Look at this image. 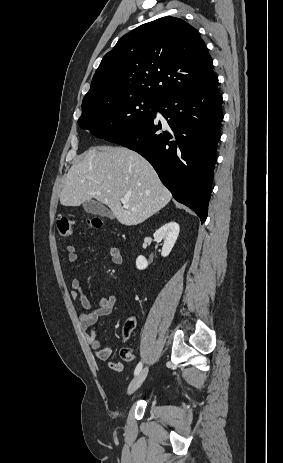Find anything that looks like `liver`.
Wrapping results in <instances>:
<instances>
[{
    "mask_svg": "<svg viewBox=\"0 0 283 463\" xmlns=\"http://www.w3.org/2000/svg\"><path fill=\"white\" fill-rule=\"evenodd\" d=\"M170 191L141 155L124 147H92L72 165L60 194L63 206L96 199L124 225H137L165 207ZM121 199L128 201L122 206Z\"/></svg>",
    "mask_w": 283,
    "mask_h": 463,
    "instance_id": "liver-1",
    "label": "liver"
}]
</instances>
